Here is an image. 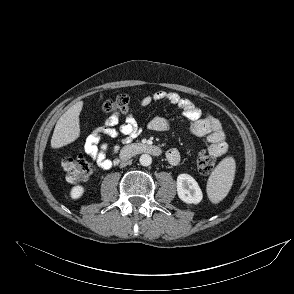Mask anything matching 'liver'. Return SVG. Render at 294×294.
I'll return each instance as SVG.
<instances>
[{"instance_id":"liver-1","label":"liver","mask_w":294,"mask_h":294,"mask_svg":"<svg viewBox=\"0 0 294 294\" xmlns=\"http://www.w3.org/2000/svg\"><path fill=\"white\" fill-rule=\"evenodd\" d=\"M82 107L83 102L79 101L59 118L51 139L52 148L57 149L66 146L80 136L79 115Z\"/></svg>"}]
</instances>
